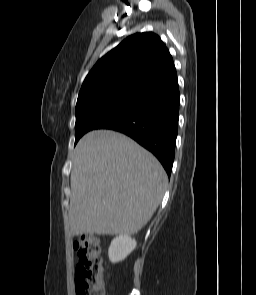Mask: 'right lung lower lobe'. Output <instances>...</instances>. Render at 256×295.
<instances>
[{"instance_id":"obj_1","label":"right lung lower lobe","mask_w":256,"mask_h":295,"mask_svg":"<svg viewBox=\"0 0 256 295\" xmlns=\"http://www.w3.org/2000/svg\"><path fill=\"white\" fill-rule=\"evenodd\" d=\"M180 93L174 63L136 92L129 105L99 129L122 132L151 151L171 174L178 130Z\"/></svg>"}]
</instances>
